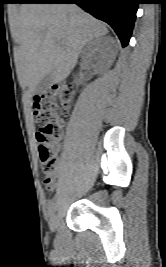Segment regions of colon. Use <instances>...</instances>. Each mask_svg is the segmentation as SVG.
I'll list each match as a JSON object with an SVG mask.
<instances>
[{
    "label": "colon",
    "mask_w": 166,
    "mask_h": 267,
    "mask_svg": "<svg viewBox=\"0 0 166 267\" xmlns=\"http://www.w3.org/2000/svg\"><path fill=\"white\" fill-rule=\"evenodd\" d=\"M74 98L73 87L60 83L36 95L33 114L38 125V152L44 180H50L57 169V147L62 137V117L67 114Z\"/></svg>",
    "instance_id": "obj_1"
}]
</instances>
